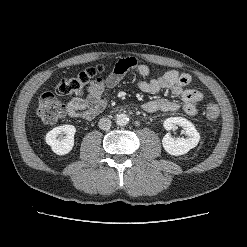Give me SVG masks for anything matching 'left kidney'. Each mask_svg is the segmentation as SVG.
<instances>
[{
  "instance_id": "5707ae66",
  "label": "left kidney",
  "mask_w": 247,
  "mask_h": 247,
  "mask_svg": "<svg viewBox=\"0 0 247 247\" xmlns=\"http://www.w3.org/2000/svg\"><path fill=\"white\" fill-rule=\"evenodd\" d=\"M164 128L167 131L175 130L177 126L183 128L186 138H175L167 133L162 139L163 148L167 153L174 156L186 154L190 149L197 146L200 135L195 126L185 118L170 117L164 121Z\"/></svg>"
}]
</instances>
